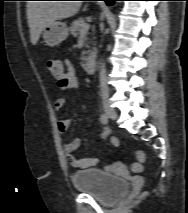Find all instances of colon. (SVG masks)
Returning <instances> with one entry per match:
<instances>
[{
	"label": "colon",
	"mask_w": 188,
	"mask_h": 213,
	"mask_svg": "<svg viewBox=\"0 0 188 213\" xmlns=\"http://www.w3.org/2000/svg\"><path fill=\"white\" fill-rule=\"evenodd\" d=\"M47 66L51 73L56 77H61L63 74L62 65L60 60L52 58L47 62ZM136 162L132 165V171L138 173L142 171V163L145 161V152L143 150H138L136 152Z\"/></svg>",
	"instance_id": "5ec220e1"
}]
</instances>
